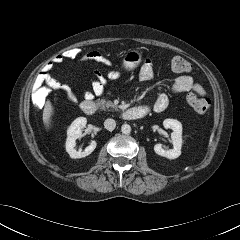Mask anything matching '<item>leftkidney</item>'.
I'll use <instances>...</instances> for the list:
<instances>
[{
    "instance_id": "obj_1",
    "label": "left kidney",
    "mask_w": 240,
    "mask_h": 240,
    "mask_svg": "<svg viewBox=\"0 0 240 240\" xmlns=\"http://www.w3.org/2000/svg\"><path fill=\"white\" fill-rule=\"evenodd\" d=\"M165 129H172L171 138L173 142V149H164L162 144L158 143L154 146L156 154L166 157L168 159H176L181 155L182 147V124L175 119H165L163 121Z\"/></svg>"
}]
</instances>
